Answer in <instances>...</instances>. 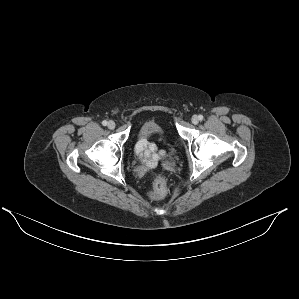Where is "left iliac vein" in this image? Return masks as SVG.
I'll list each match as a JSON object with an SVG mask.
<instances>
[{"label": "left iliac vein", "mask_w": 299, "mask_h": 299, "mask_svg": "<svg viewBox=\"0 0 299 299\" xmlns=\"http://www.w3.org/2000/svg\"><path fill=\"white\" fill-rule=\"evenodd\" d=\"M191 121H192L193 124H198V122H199V118H198V116L194 115V116L191 118Z\"/></svg>", "instance_id": "4c4485c4"}]
</instances>
